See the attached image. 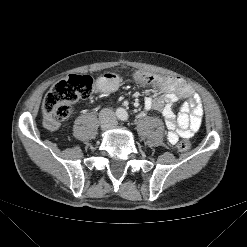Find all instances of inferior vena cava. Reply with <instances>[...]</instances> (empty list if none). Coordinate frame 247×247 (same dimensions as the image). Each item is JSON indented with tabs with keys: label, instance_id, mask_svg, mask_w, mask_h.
I'll return each mask as SVG.
<instances>
[{
	"label": "inferior vena cava",
	"instance_id": "1",
	"mask_svg": "<svg viewBox=\"0 0 247 247\" xmlns=\"http://www.w3.org/2000/svg\"><path fill=\"white\" fill-rule=\"evenodd\" d=\"M101 123L106 126H111L116 122V115L112 109L104 108L99 113Z\"/></svg>",
	"mask_w": 247,
	"mask_h": 247
}]
</instances>
